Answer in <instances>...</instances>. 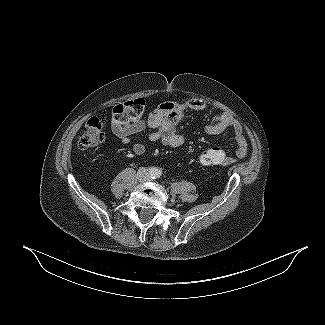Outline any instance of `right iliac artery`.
<instances>
[{"label":"right iliac artery","instance_id":"right-iliac-artery-1","mask_svg":"<svg viewBox=\"0 0 325 325\" xmlns=\"http://www.w3.org/2000/svg\"><path fill=\"white\" fill-rule=\"evenodd\" d=\"M153 171H154V170H153L152 168H151V169H149V172H150V173H153Z\"/></svg>","mask_w":325,"mask_h":325}]
</instances>
